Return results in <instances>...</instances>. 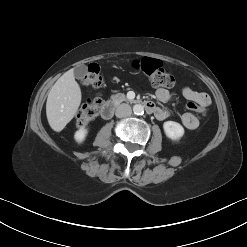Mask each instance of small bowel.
<instances>
[{
    "instance_id": "c3829d8e",
    "label": "small bowel",
    "mask_w": 247,
    "mask_h": 247,
    "mask_svg": "<svg viewBox=\"0 0 247 247\" xmlns=\"http://www.w3.org/2000/svg\"><path fill=\"white\" fill-rule=\"evenodd\" d=\"M155 95L156 98L162 102H167L172 98V95L166 89H158ZM182 95L188 100V103H196L202 107H207L211 104V98L207 93L196 91L190 87H184L182 89ZM154 115L157 119L164 120L169 117L170 113L165 108L156 107ZM181 122L188 130H194L199 126L198 118L192 113H184L181 116Z\"/></svg>"
}]
</instances>
